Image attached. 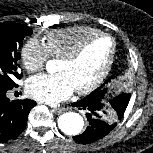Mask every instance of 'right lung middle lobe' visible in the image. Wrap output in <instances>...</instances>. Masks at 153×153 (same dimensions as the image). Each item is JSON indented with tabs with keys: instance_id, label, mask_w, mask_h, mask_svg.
<instances>
[{
	"instance_id": "1",
	"label": "right lung middle lobe",
	"mask_w": 153,
	"mask_h": 153,
	"mask_svg": "<svg viewBox=\"0 0 153 153\" xmlns=\"http://www.w3.org/2000/svg\"><path fill=\"white\" fill-rule=\"evenodd\" d=\"M31 28L13 23L4 22L0 24V86L12 89L18 85L16 79H21L18 60L23 40L31 35Z\"/></svg>"
}]
</instances>
